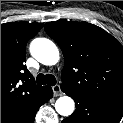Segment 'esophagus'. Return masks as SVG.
I'll list each match as a JSON object with an SVG mask.
<instances>
[{
    "instance_id": "1",
    "label": "esophagus",
    "mask_w": 123,
    "mask_h": 123,
    "mask_svg": "<svg viewBox=\"0 0 123 123\" xmlns=\"http://www.w3.org/2000/svg\"><path fill=\"white\" fill-rule=\"evenodd\" d=\"M53 94L55 97L62 96V91L60 85L56 84L52 87Z\"/></svg>"
}]
</instances>
